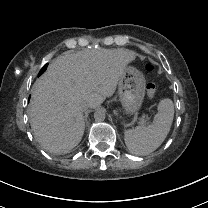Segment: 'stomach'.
I'll use <instances>...</instances> for the list:
<instances>
[{
	"instance_id": "0dacf381",
	"label": "stomach",
	"mask_w": 208,
	"mask_h": 208,
	"mask_svg": "<svg viewBox=\"0 0 208 208\" xmlns=\"http://www.w3.org/2000/svg\"><path fill=\"white\" fill-rule=\"evenodd\" d=\"M145 77L135 67L126 66L119 78V97L126 114L136 113L145 95Z\"/></svg>"
}]
</instances>
